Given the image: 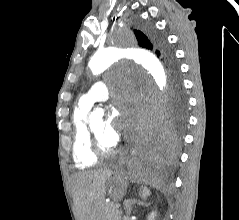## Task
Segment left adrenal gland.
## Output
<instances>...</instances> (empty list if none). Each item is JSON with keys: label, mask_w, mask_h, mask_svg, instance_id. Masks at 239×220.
Returning <instances> with one entry per match:
<instances>
[{"label": "left adrenal gland", "mask_w": 239, "mask_h": 220, "mask_svg": "<svg viewBox=\"0 0 239 220\" xmlns=\"http://www.w3.org/2000/svg\"><path fill=\"white\" fill-rule=\"evenodd\" d=\"M136 203L138 205H146V203L144 201H137L136 199H126L124 201V209H125V212H126L127 216H130L132 208L134 207V205Z\"/></svg>", "instance_id": "left-adrenal-gland-1"}]
</instances>
